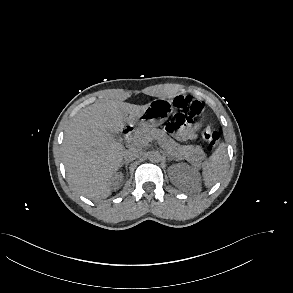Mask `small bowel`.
<instances>
[{
    "mask_svg": "<svg viewBox=\"0 0 293 293\" xmlns=\"http://www.w3.org/2000/svg\"><path fill=\"white\" fill-rule=\"evenodd\" d=\"M199 128V123H196L192 126H190L188 129L185 131V137L186 138H193L194 137V132Z\"/></svg>",
    "mask_w": 293,
    "mask_h": 293,
    "instance_id": "obj_1",
    "label": "small bowel"
}]
</instances>
